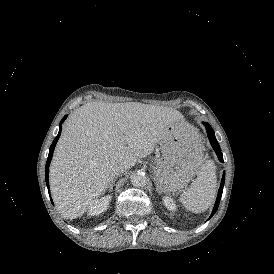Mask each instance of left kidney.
I'll use <instances>...</instances> for the list:
<instances>
[{
    "mask_svg": "<svg viewBox=\"0 0 274 274\" xmlns=\"http://www.w3.org/2000/svg\"><path fill=\"white\" fill-rule=\"evenodd\" d=\"M164 204H165V206L168 207L170 210H172V209L175 208V204H174L173 200L170 199V198H168V197H166V198L164 199Z\"/></svg>",
    "mask_w": 274,
    "mask_h": 274,
    "instance_id": "1",
    "label": "left kidney"
}]
</instances>
